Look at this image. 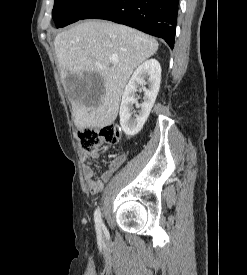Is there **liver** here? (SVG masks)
<instances>
[{
    "label": "liver",
    "instance_id": "6515ba94",
    "mask_svg": "<svg viewBox=\"0 0 247 275\" xmlns=\"http://www.w3.org/2000/svg\"><path fill=\"white\" fill-rule=\"evenodd\" d=\"M54 47L74 124L92 129L115 121L126 83L134 69L156 53L158 42L125 25L88 20L59 33ZM83 72L99 74L104 87L103 93L93 94L87 102L66 84L68 75Z\"/></svg>",
    "mask_w": 247,
    "mask_h": 275
}]
</instances>
